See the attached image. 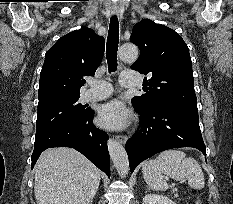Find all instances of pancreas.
Wrapping results in <instances>:
<instances>
[{
  "label": "pancreas",
  "instance_id": "obj_1",
  "mask_svg": "<svg viewBox=\"0 0 233 204\" xmlns=\"http://www.w3.org/2000/svg\"><path fill=\"white\" fill-rule=\"evenodd\" d=\"M172 192H173V193L177 192V189H173ZM177 196H178V195L175 194V197H177Z\"/></svg>",
  "mask_w": 233,
  "mask_h": 204
}]
</instances>
